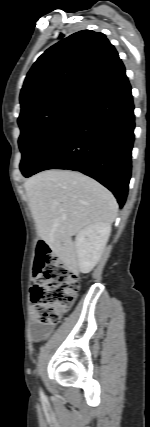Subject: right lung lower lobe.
I'll use <instances>...</instances> for the list:
<instances>
[{"label": "right lung lower lobe", "mask_w": 150, "mask_h": 427, "mask_svg": "<svg viewBox=\"0 0 150 427\" xmlns=\"http://www.w3.org/2000/svg\"><path fill=\"white\" fill-rule=\"evenodd\" d=\"M133 110L131 86L123 75L79 106L32 175L47 169L80 171L112 191L122 207L131 177Z\"/></svg>", "instance_id": "98d812e1"}]
</instances>
